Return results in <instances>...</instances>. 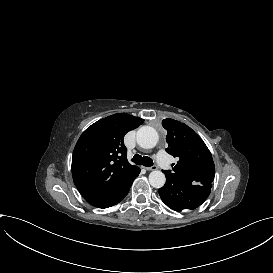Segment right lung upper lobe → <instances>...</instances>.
<instances>
[{
	"mask_svg": "<svg viewBox=\"0 0 273 273\" xmlns=\"http://www.w3.org/2000/svg\"><path fill=\"white\" fill-rule=\"evenodd\" d=\"M144 122L119 113L89 126L80 136L72 157L73 181L91 205H115L140 173L126 157L125 134Z\"/></svg>",
	"mask_w": 273,
	"mask_h": 273,
	"instance_id": "obj_1",
	"label": "right lung upper lobe"
}]
</instances>
